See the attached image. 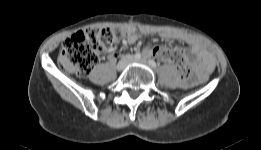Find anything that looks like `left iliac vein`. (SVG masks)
Returning <instances> with one entry per match:
<instances>
[{
	"label": "left iliac vein",
	"mask_w": 261,
	"mask_h": 150,
	"mask_svg": "<svg viewBox=\"0 0 261 150\" xmlns=\"http://www.w3.org/2000/svg\"><path fill=\"white\" fill-rule=\"evenodd\" d=\"M134 62H138V63H142V64H145L146 63V61H145V59H139V60H133Z\"/></svg>",
	"instance_id": "1"
}]
</instances>
